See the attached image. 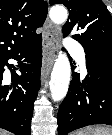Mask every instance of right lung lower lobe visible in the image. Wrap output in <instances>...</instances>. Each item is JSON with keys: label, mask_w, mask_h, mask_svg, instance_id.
<instances>
[{"label": "right lung lower lobe", "mask_w": 112, "mask_h": 135, "mask_svg": "<svg viewBox=\"0 0 112 135\" xmlns=\"http://www.w3.org/2000/svg\"><path fill=\"white\" fill-rule=\"evenodd\" d=\"M9 59L19 61L21 72L11 75L12 86L2 83L4 66L12 67ZM41 64L42 36L0 60V128L15 135H30Z\"/></svg>", "instance_id": "1"}]
</instances>
